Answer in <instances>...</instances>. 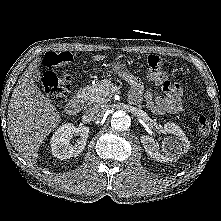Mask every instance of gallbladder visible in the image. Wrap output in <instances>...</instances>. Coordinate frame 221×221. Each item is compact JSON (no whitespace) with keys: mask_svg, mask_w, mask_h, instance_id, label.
Returning <instances> with one entry per match:
<instances>
[{"mask_svg":"<svg viewBox=\"0 0 221 221\" xmlns=\"http://www.w3.org/2000/svg\"><path fill=\"white\" fill-rule=\"evenodd\" d=\"M32 77H33L34 81L39 82L42 78L41 72L39 70H33Z\"/></svg>","mask_w":221,"mask_h":221,"instance_id":"gallbladder-1","label":"gallbladder"}]
</instances>
